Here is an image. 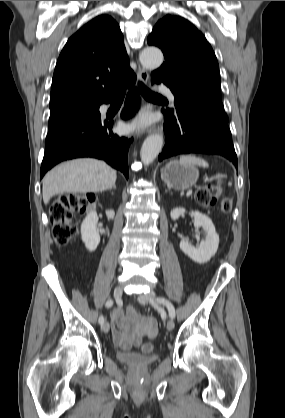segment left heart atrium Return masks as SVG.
<instances>
[{
	"label": "left heart atrium",
	"mask_w": 285,
	"mask_h": 418,
	"mask_svg": "<svg viewBox=\"0 0 285 418\" xmlns=\"http://www.w3.org/2000/svg\"><path fill=\"white\" fill-rule=\"evenodd\" d=\"M150 123V118L147 114L141 113L129 125V131H136L146 127Z\"/></svg>",
	"instance_id": "obj_1"
}]
</instances>
